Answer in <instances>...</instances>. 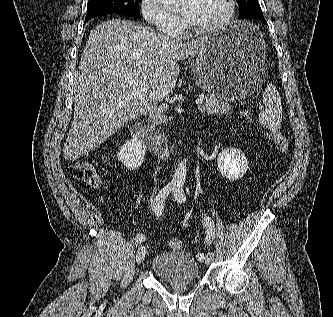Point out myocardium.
<instances>
[{
	"instance_id": "1",
	"label": "myocardium",
	"mask_w": 333,
	"mask_h": 317,
	"mask_svg": "<svg viewBox=\"0 0 333 317\" xmlns=\"http://www.w3.org/2000/svg\"><path fill=\"white\" fill-rule=\"evenodd\" d=\"M226 2V12L223 17L216 22L215 24L206 27V28H198L190 24L188 21H184L186 30L192 34L197 36H207L214 33L219 32L220 30L224 29L232 20L235 10H236V2L235 0H225Z\"/></svg>"
}]
</instances>
